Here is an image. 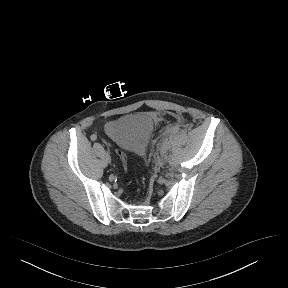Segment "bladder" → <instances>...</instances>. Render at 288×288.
<instances>
[{"mask_svg":"<svg viewBox=\"0 0 288 288\" xmlns=\"http://www.w3.org/2000/svg\"><path fill=\"white\" fill-rule=\"evenodd\" d=\"M155 120L144 113L124 116L109 123L106 134L132 153L143 152L154 130Z\"/></svg>","mask_w":288,"mask_h":288,"instance_id":"bladder-1","label":"bladder"}]
</instances>
